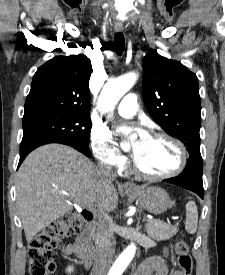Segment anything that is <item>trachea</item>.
Wrapping results in <instances>:
<instances>
[{"instance_id":"3493384b","label":"trachea","mask_w":225,"mask_h":275,"mask_svg":"<svg viewBox=\"0 0 225 275\" xmlns=\"http://www.w3.org/2000/svg\"><path fill=\"white\" fill-rule=\"evenodd\" d=\"M125 48V39L122 33H116L114 35V51L121 55Z\"/></svg>"}]
</instances>
